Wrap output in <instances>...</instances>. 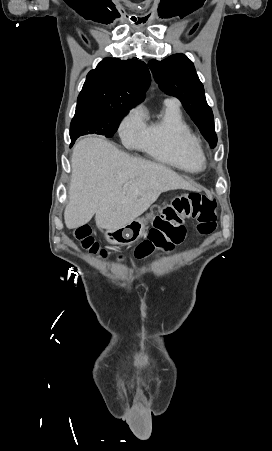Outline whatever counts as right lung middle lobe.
Wrapping results in <instances>:
<instances>
[{
    "instance_id": "dd1d6c3e",
    "label": "right lung middle lobe",
    "mask_w": 272,
    "mask_h": 451,
    "mask_svg": "<svg viewBox=\"0 0 272 451\" xmlns=\"http://www.w3.org/2000/svg\"><path fill=\"white\" fill-rule=\"evenodd\" d=\"M131 107L108 105H77L70 125L71 146L81 135L100 134L112 137L119 122Z\"/></svg>"
}]
</instances>
